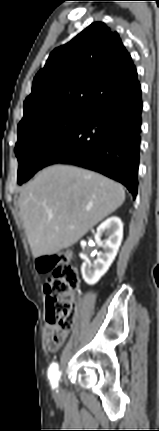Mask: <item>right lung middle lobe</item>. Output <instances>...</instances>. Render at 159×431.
Listing matches in <instances>:
<instances>
[{"instance_id":"dd1d6c3e","label":"right lung middle lobe","mask_w":159,"mask_h":431,"mask_svg":"<svg viewBox=\"0 0 159 431\" xmlns=\"http://www.w3.org/2000/svg\"><path fill=\"white\" fill-rule=\"evenodd\" d=\"M87 116L82 112H60L18 129L15 146L19 161L18 183H24L40 170L48 152Z\"/></svg>"}]
</instances>
